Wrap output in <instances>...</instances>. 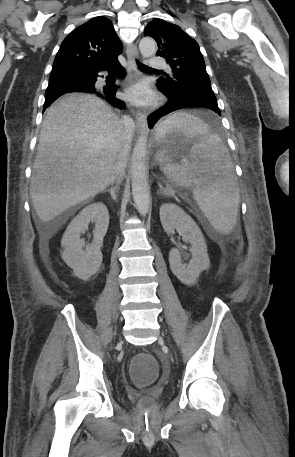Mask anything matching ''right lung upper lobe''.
I'll return each instance as SVG.
<instances>
[{"label": "right lung upper lobe", "mask_w": 295, "mask_h": 457, "mask_svg": "<svg viewBox=\"0 0 295 457\" xmlns=\"http://www.w3.org/2000/svg\"><path fill=\"white\" fill-rule=\"evenodd\" d=\"M121 52L122 42L112 22L102 16L92 18L63 40L50 78L87 75L117 58Z\"/></svg>", "instance_id": "right-lung-upper-lobe-1"}]
</instances>
